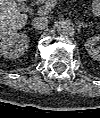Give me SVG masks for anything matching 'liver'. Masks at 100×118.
<instances>
[{
    "label": "liver",
    "instance_id": "liver-1",
    "mask_svg": "<svg viewBox=\"0 0 100 118\" xmlns=\"http://www.w3.org/2000/svg\"><path fill=\"white\" fill-rule=\"evenodd\" d=\"M17 2L26 0H0V36L7 37L21 30L27 23V14L20 13Z\"/></svg>",
    "mask_w": 100,
    "mask_h": 118
}]
</instances>
